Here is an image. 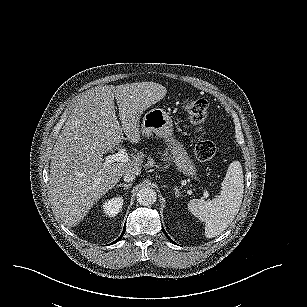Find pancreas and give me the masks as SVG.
<instances>
[{
	"label": "pancreas",
	"instance_id": "cf45deb5",
	"mask_svg": "<svg viewBox=\"0 0 307 307\" xmlns=\"http://www.w3.org/2000/svg\"><path fill=\"white\" fill-rule=\"evenodd\" d=\"M164 161H168L169 160V157H168V152H165L164 153V158H163Z\"/></svg>",
	"mask_w": 307,
	"mask_h": 307
}]
</instances>
